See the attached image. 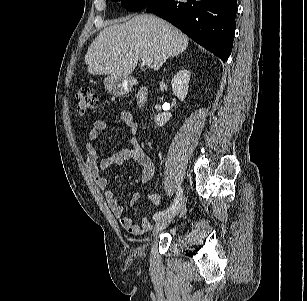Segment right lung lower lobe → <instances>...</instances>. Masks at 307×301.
<instances>
[{"instance_id": "obj_1", "label": "right lung lower lobe", "mask_w": 307, "mask_h": 301, "mask_svg": "<svg viewBox=\"0 0 307 301\" xmlns=\"http://www.w3.org/2000/svg\"><path fill=\"white\" fill-rule=\"evenodd\" d=\"M146 11L169 21L224 62L230 56L237 0H158Z\"/></svg>"}]
</instances>
